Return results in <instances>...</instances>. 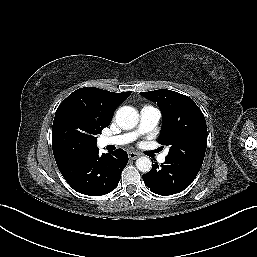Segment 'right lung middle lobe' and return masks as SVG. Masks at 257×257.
Listing matches in <instances>:
<instances>
[{"instance_id":"right-lung-middle-lobe-1","label":"right lung middle lobe","mask_w":257,"mask_h":257,"mask_svg":"<svg viewBox=\"0 0 257 257\" xmlns=\"http://www.w3.org/2000/svg\"><path fill=\"white\" fill-rule=\"evenodd\" d=\"M102 129H103L102 127L95 126V125L89 128V133L91 135L90 140L92 141V143L96 144L97 140L95 135L98 133H101Z\"/></svg>"}]
</instances>
